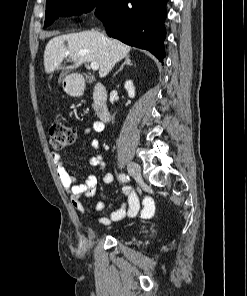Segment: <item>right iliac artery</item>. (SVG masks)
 Returning a JSON list of instances; mask_svg holds the SVG:
<instances>
[{
  "mask_svg": "<svg viewBox=\"0 0 247 296\" xmlns=\"http://www.w3.org/2000/svg\"><path fill=\"white\" fill-rule=\"evenodd\" d=\"M119 179L122 181V182H129L130 181V178L128 175L124 174V173H121L119 175Z\"/></svg>",
  "mask_w": 247,
  "mask_h": 296,
  "instance_id": "82829eb1",
  "label": "right iliac artery"
}]
</instances>
